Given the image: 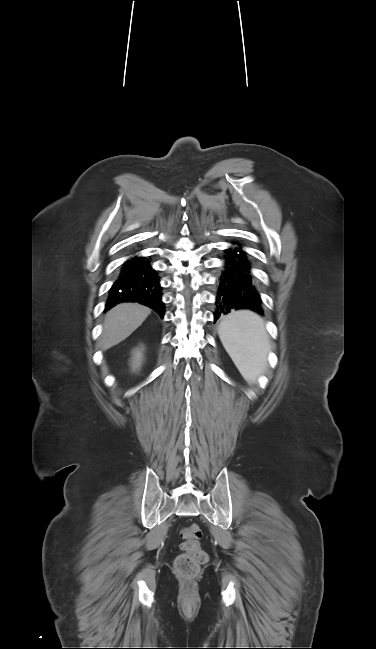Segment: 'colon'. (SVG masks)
<instances>
[{
    "mask_svg": "<svg viewBox=\"0 0 376 649\" xmlns=\"http://www.w3.org/2000/svg\"><path fill=\"white\" fill-rule=\"evenodd\" d=\"M181 536L183 553L175 559V571L183 577H193L208 561V555L202 550L199 542L202 532L197 524H190L181 530Z\"/></svg>",
    "mask_w": 376,
    "mask_h": 649,
    "instance_id": "5ec220e1",
    "label": "colon"
}]
</instances>
